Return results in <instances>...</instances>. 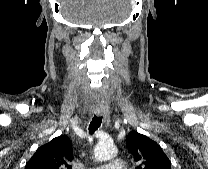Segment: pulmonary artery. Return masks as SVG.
<instances>
[{
    "mask_svg": "<svg viewBox=\"0 0 208 169\" xmlns=\"http://www.w3.org/2000/svg\"><path fill=\"white\" fill-rule=\"evenodd\" d=\"M89 169H126V166L123 159L113 158L102 165L95 166Z\"/></svg>",
    "mask_w": 208,
    "mask_h": 169,
    "instance_id": "obj_1",
    "label": "pulmonary artery"
}]
</instances>
